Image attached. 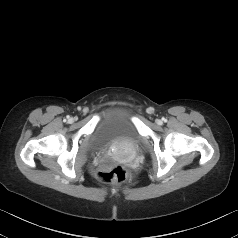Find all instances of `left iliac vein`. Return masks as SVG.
<instances>
[{"instance_id":"1","label":"left iliac vein","mask_w":238,"mask_h":238,"mask_svg":"<svg viewBox=\"0 0 238 238\" xmlns=\"http://www.w3.org/2000/svg\"><path fill=\"white\" fill-rule=\"evenodd\" d=\"M161 123H162V122H161V120H157V124H159V125H160Z\"/></svg>"}]
</instances>
